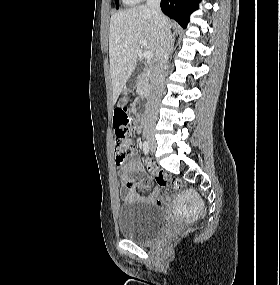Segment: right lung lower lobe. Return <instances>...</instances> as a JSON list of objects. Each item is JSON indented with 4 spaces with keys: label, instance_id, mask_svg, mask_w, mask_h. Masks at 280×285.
I'll return each instance as SVG.
<instances>
[{
    "label": "right lung lower lobe",
    "instance_id": "98d812e1",
    "mask_svg": "<svg viewBox=\"0 0 280 285\" xmlns=\"http://www.w3.org/2000/svg\"><path fill=\"white\" fill-rule=\"evenodd\" d=\"M200 0H161V10L176 20L183 28L189 22L190 14L197 8Z\"/></svg>",
    "mask_w": 280,
    "mask_h": 285
}]
</instances>
